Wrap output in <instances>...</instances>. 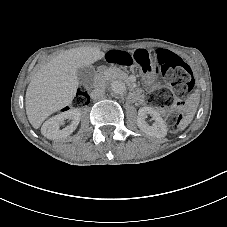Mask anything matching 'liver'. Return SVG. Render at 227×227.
Segmentation results:
<instances>
[{
    "instance_id": "obj_1",
    "label": "liver",
    "mask_w": 227,
    "mask_h": 227,
    "mask_svg": "<svg viewBox=\"0 0 227 227\" xmlns=\"http://www.w3.org/2000/svg\"><path fill=\"white\" fill-rule=\"evenodd\" d=\"M98 47L74 48L56 56L33 76L26 91V113L39 128L53 112L69 105L79 85L76 71L100 59Z\"/></svg>"
}]
</instances>
